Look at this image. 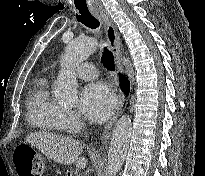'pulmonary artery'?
Masks as SVG:
<instances>
[{
  "instance_id": "e3ab8cb5",
  "label": "pulmonary artery",
  "mask_w": 205,
  "mask_h": 176,
  "mask_svg": "<svg viewBox=\"0 0 205 176\" xmlns=\"http://www.w3.org/2000/svg\"><path fill=\"white\" fill-rule=\"evenodd\" d=\"M75 73L78 77L86 80H93L97 77V69L88 63H80L75 67Z\"/></svg>"
}]
</instances>
